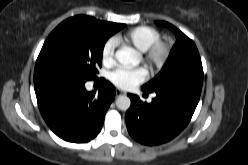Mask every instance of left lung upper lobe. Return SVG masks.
<instances>
[{
    "label": "left lung upper lobe",
    "instance_id": "left-lung-upper-lobe-1",
    "mask_svg": "<svg viewBox=\"0 0 248 165\" xmlns=\"http://www.w3.org/2000/svg\"><path fill=\"white\" fill-rule=\"evenodd\" d=\"M176 34V43L160 73L142 86L144 92H160L169 89L178 91H201L203 68L195 43L168 22L158 21Z\"/></svg>",
    "mask_w": 248,
    "mask_h": 165
}]
</instances>
